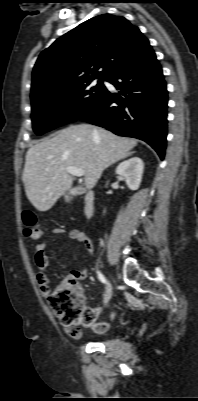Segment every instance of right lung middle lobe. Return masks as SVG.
Segmentation results:
<instances>
[{
  "label": "right lung middle lobe",
  "mask_w": 198,
  "mask_h": 401,
  "mask_svg": "<svg viewBox=\"0 0 198 401\" xmlns=\"http://www.w3.org/2000/svg\"><path fill=\"white\" fill-rule=\"evenodd\" d=\"M91 81L44 92L35 97L32 100L31 115L35 133L42 135L87 114L106 89L102 80L95 86H90Z\"/></svg>",
  "instance_id": "obj_1"
}]
</instances>
